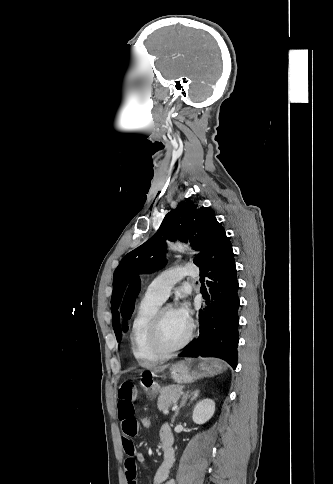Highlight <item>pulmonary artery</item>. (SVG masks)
Here are the masks:
<instances>
[{
    "label": "pulmonary artery",
    "mask_w": 333,
    "mask_h": 484,
    "mask_svg": "<svg viewBox=\"0 0 333 484\" xmlns=\"http://www.w3.org/2000/svg\"><path fill=\"white\" fill-rule=\"evenodd\" d=\"M196 274V267L190 263L165 270L149 284L146 295L163 302L179 280L185 276L194 277Z\"/></svg>",
    "instance_id": "1"
}]
</instances>
